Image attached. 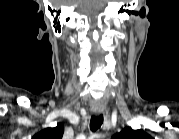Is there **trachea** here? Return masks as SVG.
Instances as JSON below:
<instances>
[{
	"label": "trachea",
	"mask_w": 179,
	"mask_h": 139,
	"mask_svg": "<svg viewBox=\"0 0 179 139\" xmlns=\"http://www.w3.org/2000/svg\"><path fill=\"white\" fill-rule=\"evenodd\" d=\"M103 123V115H98V116H92L90 120V129L91 131H96L98 130Z\"/></svg>",
	"instance_id": "trachea-1"
}]
</instances>
